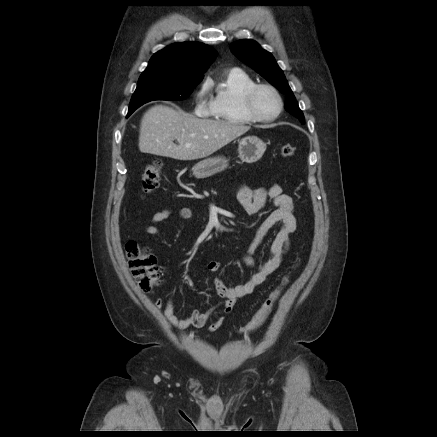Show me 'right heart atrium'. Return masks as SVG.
<instances>
[{
	"instance_id": "d8ad5b80",
	"label": "right heart atrium",
	"mask_w": 437,
	"mask_h": 437,
	"mask_svg": "<svg viewBox=\"0 0 437 437\" xmlns=\"http://www.w3.org/2000/svg\"><path fill=\"white\" fill-rule=\"evenodd\" d=\"M208 84L201 86L195 96V112L200 116L212 113V103L207 100Z\"/></svg>"
}]
</instances>
